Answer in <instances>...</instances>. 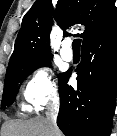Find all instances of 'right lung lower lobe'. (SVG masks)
Here are the masks:
<instances>
[{
  "label": "right lung lower lobe",
  "instance_id": "98d812e1",
  "mask_svg": "<svg viewBox=\"0 0 117 136\" xmlns=\"http://www.w3.org/2000/svg\"><path fill=\"white\" fill-rule=\"evenodd\" d=\"M71 72L59 79L58 127L66 136L109 135L117 95V24L83 43L75 89L67 83Z\"/></svg>",
  "mask_w": 117,
  "mask_h": 136
}]
</instances>
